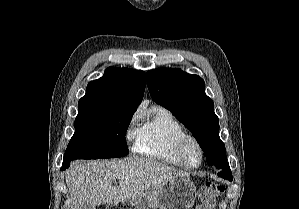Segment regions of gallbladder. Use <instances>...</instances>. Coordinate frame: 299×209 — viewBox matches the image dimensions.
<instances>
[{
  "label": "gallbladder",
  "mask_w": 299,
  "mask_h": 209,
  "mask_svg": "<svg viewBox=\"0 0 299 209\" xmlns=\"http://www.w3.org/2000/svg\"><path fill=\"white\" fill-rule=\"evenodd\" d=\"M81 209H95V206L91 205L90 203H84Z\"/></svg>",
  "instance_id": "1"
}]
</instances>
